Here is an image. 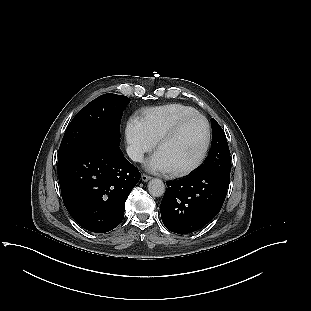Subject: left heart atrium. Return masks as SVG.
Listing matches in <instances>:
<instances>
[{
  "label": "left heart atrium",
  "mask_w": 311,
  "mask_h": 311,
  "mask_svg": "<svg viewBox=\"0 0 311 311\" xmlns=\"http://www.w3.org/2000/svg\"><path fill=\"white\" fill-rule=\"evenodd\" d=\"M145 168L153 173H166L171 171L164 156L159 151H156L149 159H147L145 162Z\"/></svg>",
  "instance_id": "obj_1"
}]
</instances>
